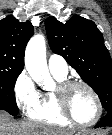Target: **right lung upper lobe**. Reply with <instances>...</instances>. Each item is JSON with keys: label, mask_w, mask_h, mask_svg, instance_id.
I'll return each instance as SVG.
<instances>
[{"label": "right lung upper lobe", "mask_w": 112, "mask_h": 135, "mask_svg": "<svg viewBox=\"0 0 112 135\" xmlns=\"http://www.w3.org/2000/svg\"><path fill=\"white\" fill-rule=\"evenodd\" d=\"M33 35L29 21L19 22L13 16L0 21V72H21L27 42Z\"/></svg>", "instance_id": "cb5924a9"}]
</instances>
